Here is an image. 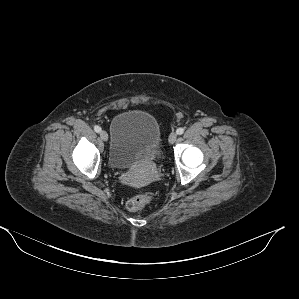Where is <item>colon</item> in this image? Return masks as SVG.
<instances>
[{
    "label": "colon",
    "instance_id": "obj_1",
    "mask_svg": "<svg viewBox=\"0 0 299 299\" xmlns=\"http://www.w3.org/2000/svg\"><path fill=\"white\" fill-rule=\"evenodd\" d=\"M153 199V195H136L134 197H131L127 203L126 207L130 211H138L140 210L143 206L148 204L151 200Z\"/></svg>",
    "mask_w": 299,
    "mask_h": 299
}]
</instances>
